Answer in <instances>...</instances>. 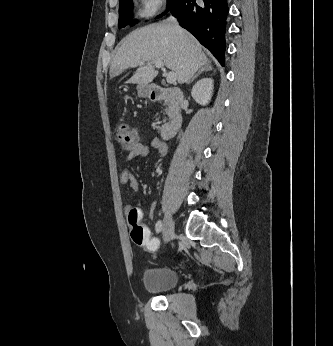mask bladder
<instances>
[{"label":"bladder","mask_w":333,"mask_h":346,"mask_svg":"<svg viewBox=\"0 0 333 346\" xmlns=\"http://www.w3.org/2000/svg\"><path fill=\"white\" fill-rule=\"evenodd\" d=\"M179 282V274L169 267L150 268L144 275V287L150 293L161 294L174 289Z\"/></svg>","instance_id":"1"}]
</instances>
